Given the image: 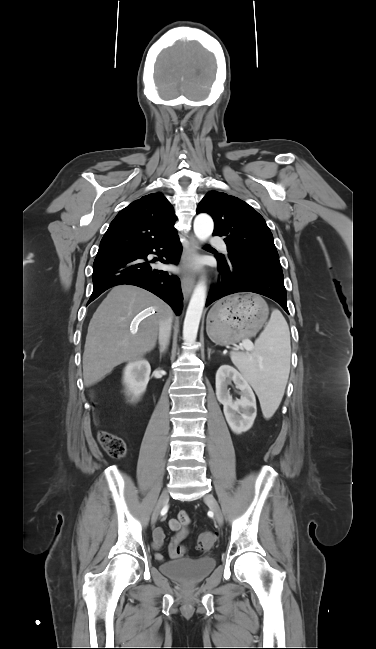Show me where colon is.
<instances>
[{
    "label": "colon",
    "instance_id": "5ec220e1",
    "mask_svg": "<svg viewBox=\"0 0 376 649\" xmlns=\"http://www.w3.org/2000/svg\"><path fill=\"white\" fill-rule=\"evenodd\" d=\"M98 441L111 458L122 459L126 456L127 446L121 437L102 431L98 434ZM214 541L213 533L203 532L198 537L197 545L200 550L206 551L212 547Z\"/></svg>",
    "mask_w": 376,
    "mask_h": 649
}]
</instances>
